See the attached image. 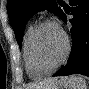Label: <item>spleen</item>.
<instances>
[{"label": "spleen", "instance_id": "1", "mask_svg": "<svg viewBox=\"0 0 89 89\" xmlns=\"http://www.w3.org/2000/svg\"><path fill=\"white\" fill-rule=\"evenodd\" d=\"M67 82L74 89H87L86 81L81 76L72 75L69 78H67Z\"/></svg>", "mask_w": 89, "mask_h": 89}]
</instances>
